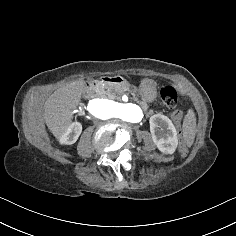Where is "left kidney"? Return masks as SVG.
Masks as SVG:
<instances>
[{
    "label": "left kidney",
    "mask_w": 236,
    "mask_h": 236,
    "mask_svg": "<svg viewBox=\"0 0 236 236\" xmlns=\"http://www.w3.org/2000/svg\"><path fill=\"white\" fill-rule=\"evenodd\" d=\"M150 133L156 148L164 155H173L178 147L176 129L165 115L155 114L149 120Z\"/></svg>",
    "instance_id": "1"
}]
</instances>
